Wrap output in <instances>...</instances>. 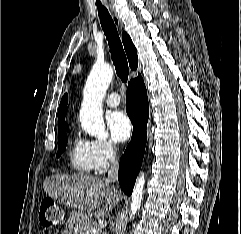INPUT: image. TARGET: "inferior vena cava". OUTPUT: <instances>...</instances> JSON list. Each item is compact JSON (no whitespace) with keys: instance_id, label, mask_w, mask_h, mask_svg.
I'll list each match as a JSON object with an SVG mask.
<instances>
[{"instance_id":"inferior-vena-cava-1","label":"inferior vena cava","mask_w":241,"mask_h":234,"mask_svg":"<svg viewBox=\"0 0 241 234\" xmlns=\"http://www.w3.org/2000/svg\"><path fill=\"white\" fill-rule=\"evenodd\" d=\"M118 168V161L111 159V168L108 171L107 177L108 182H115L118 180Z\"/></svg>"}]
</instances>
